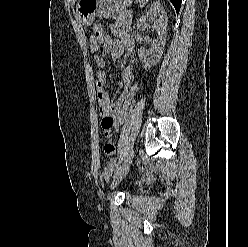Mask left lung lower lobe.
<instances>
[{"instance_id":"left-lung-lower-lobe-1","label":"left lung lower lobe","mask_w":248,"mask_h":247,"mask_svg":"<svg viewBox=\"0 0 248 247\" xmlns=\"http://www.w3.org/2000/svg\"><path fill=\"white\" fill-rule=\"evenodd\" d=\"M172 2V4L174 5L176 12L178 13L180 10V6H181V1L182 0H170Z\"/></svg>"}]
</instances>
